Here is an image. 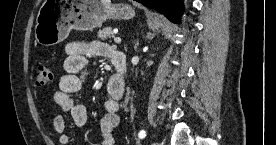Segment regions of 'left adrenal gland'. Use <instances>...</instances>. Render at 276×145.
<instances>
[{
    "instance_id": "left-adrenal-gland-1",
    "label": "left adrenal gland",
    "mask_w": 276,
    "mask_h": 145,
    "mask_svg": "<svg viewBox=\"0 0 276 145\" xmlns=\"http://www.w3.org/2000/svg\"><path fill=\"white\" fill-rule=\"evenodd\" d=\"M138 44H139V43H138V41H137V43H136V45H135V46L137 47V46H138Z\"/></svg>"
}]
</instances>
